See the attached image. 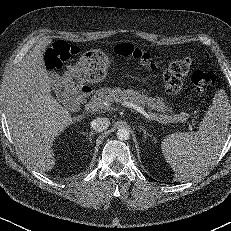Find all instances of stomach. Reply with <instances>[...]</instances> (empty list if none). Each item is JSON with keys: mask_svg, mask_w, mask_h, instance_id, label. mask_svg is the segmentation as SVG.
Returning <instances> with one entry per match:
<instances>
[{"mask_svg": "<svg viewBox=\"0 0 231 231\" xmlns=\"http://www.w3.org/2000/svg\"><path fill=\"white\" fill-rule=\"evenodd\" d=\"M113 62L105 53L98 50L87 51L64 75L65 87L72 88L83 83L102 82Z\"/></svg>", "mask_w": 231, "mask_h": 231, "instance_id": "obj_1", "label": "stomach"}]
</instances>
